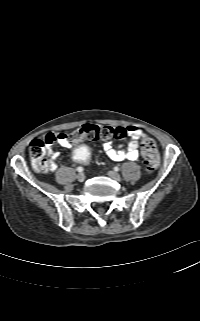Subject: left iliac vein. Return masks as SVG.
I'll return each instance as SVG.
<instances>
[{"instance_id":"obj_1","label":"left iliac vein","mask_w":200,"mask_h":321,"mask_svg":"<svg viewBox=\"0 0 200 321\" xmlns=\"http://www.w3.org/2000/svg\"><path fill=\"white\" fill-rule=\"evenodd\" d=\"M108 175H109V177H111L112 179H114V180H116L118 182L121 181V176L115 171H109Z\"/></svg>"}]
</instances>
